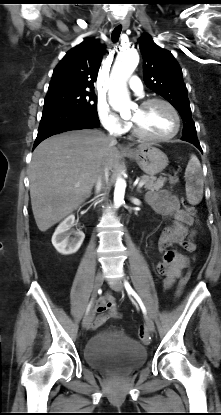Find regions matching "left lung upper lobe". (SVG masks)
<instances>
[{
    "label": "left lung upper lobe",
    "mask_w": 221,
    "mask_h": 415,
    "mask_svg": "<svg viewBox=\"0 0 221 415\" xmlns=\"http://www.w3.org/2000/svg\"><path fill=\"white\" fill-rule=\"evenodd\" d=\"M139 48L143 56V78L146 86L177 109L184 123L182 134L196 133L188 91L176 59L171 52L156 45L152 37L146 33L139 39Z\"/></svg>",
    "instance_id": "1"
}]
</instances>
